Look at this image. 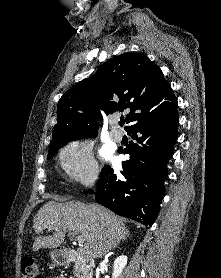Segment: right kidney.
<instances>
[{
  "label": "right kidney",
  "instance_id": "right-kidney-1",
  "mask_svg": "<svg viewBox=\"0 0 221 278\" xmlns=\"http://www.w3.org/2000/svg\"><path fill=\"white\" fill-rule=\"evenodd\" d=\"M127 260H128V258L125 255H121L115 259L112 278H119L124 267L127 264Z\"/></svg>",
  "mask_w": 221,
  "mask_h": 278
}]
</instances>
